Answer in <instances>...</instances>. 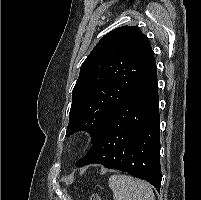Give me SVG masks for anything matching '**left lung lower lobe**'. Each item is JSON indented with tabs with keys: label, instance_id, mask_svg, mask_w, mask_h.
I'll list each match as a JSON object with an SVG mask.
<instances>
[{
	"label": "left lung lower lobe",
	"instance_id": "0a47b994",
	"mask_svg": "<svg viewBox=\"0 0 201 200\" xmlns=\"http://www.w3.org/2000/svg\"><path fill=\"white\" fill-rule=\"evenodd\" d=\"M160 114L156 66L113 109L76 167L98 163L144 179L160 192Z\"/></svg>",
	"mask_w": 201,
	"mask_h": 200
}]
</instances>
